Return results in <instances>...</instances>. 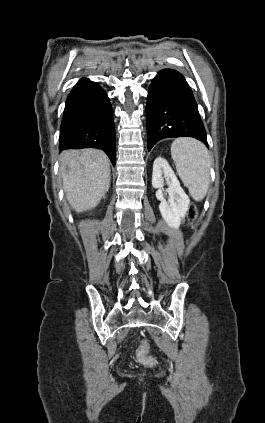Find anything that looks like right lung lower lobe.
Listing matches in <instances>:
<instances>
[{"label":"right lung lower lobe","instance_id":"obj_1","mask_svg":"<svg viewBox=\"0 0 265 423\" xmlns=\"http://www.w3.org/2000/svg\"><path fill=\"white\" fill-rule=\"evenodd\" d=\"M98 148L115 165L113 111L104 90L81 79L66 100L60 127L59 149Z\"/></svg>","mask_w":265,"mask_h":423}]
</instances>
